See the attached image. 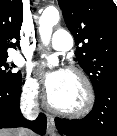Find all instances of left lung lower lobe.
<instances>
[{
	"mask_svg": "<svg viewBox=\"0 0 117 136\" xmlns=\"http://www.w3.org/2000/svg\"><path fill=\"white\" fill-rule=\"evenodd\" d=\"M57 129L67 136H117V80L95 93L92 111L83 119L56 118Z\"/></svg>",
	"mask_w": 117,
	"mask_h": 136,
	"instance_id": "1",
	"label": "left lung lower lobe"
}]
</instances>
